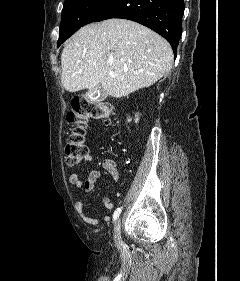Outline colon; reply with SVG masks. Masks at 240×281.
Listing matches in <instances>:
<instances>
[{
	"label": "colon",
	"instance_id": "colon-1",
	"mask_svg": "<svg viewBox=\"0 0 240 281\" xmlns=\"http://www.w3.org/2000/svg\"><path fill=\"white\" fill-rule=\"evenodd\" d=\"M112 106L106 101H93L77 97L71 102V109L67 114V121L71 125L65 145L66 162L75 166L88 155L86 144V127L89 120L111 122Z\"/></svg>",
	"mask_w": 240,
	"mask_h": 281
}]
</instances>
